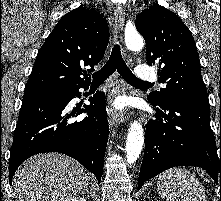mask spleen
<instances>
[{
  "instance_id": "spleen-1",
  "label": "spleen",
  "mask_w": 221,
  "mask_h": 201,
  "mask_svg": "<svg viewBox=\"0 0 221 201\" xmlns=\"http://www.w3.org/2000/svg\"><path fill=\"white\" fill-rule=\"evenodd\" d=\"M157 190L166 201H207L203 185L194 174L182 167L160 174Z\"/></svg>"
}]
</instances>
